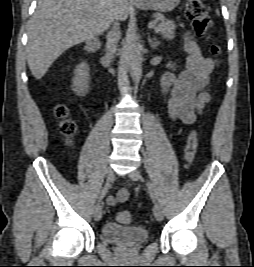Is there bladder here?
I'll use <instances>...</instances> for the list:
<instances>
[{"instance_id":"1","label":"bladder","mask_w":254,"mask_h":267,"mask_svg":"<svg viewBox=\"0 0 254 267\" xmlns=\"http://www.w3.org/2000/svg\"><path fill=\"white\" fill-rule=\"evenodd\" d=\"M102 235L107 242L126 249L137 248L148 239V232L145 228L127 227L114 222L103 226Z\"/></svg>"}]
</instances>
